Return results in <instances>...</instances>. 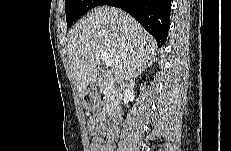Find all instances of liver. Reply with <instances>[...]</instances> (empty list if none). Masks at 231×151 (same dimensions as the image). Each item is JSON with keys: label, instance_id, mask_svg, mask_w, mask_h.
Wrapping results in <instances>:
<instances>
[{"label": "liver", "instance_id": "1", "mask_svg": "<svg viewBox=\"0 0 231 151\" xmlns=\"http://www.w3.org/2000/svg\"><path fill=\"white\" fill-rule=\"evenodd\" d=\"M154 38L129 14L111 6H98L69 32L67 54L77 90L83 97L93 82L101 52L112 58L115 81L136 78L156 56Z\"/></svg>", "mask_w": 231, "mask_h": 151}]
</instances>
